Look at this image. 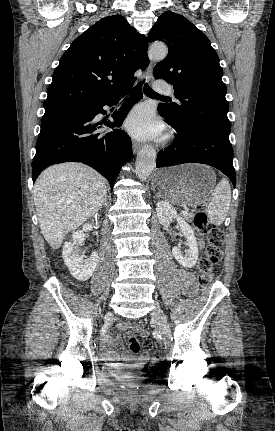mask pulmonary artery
Instances as JSON below:
<instances>
[{"label":"pulmonary artery","instance_id":"obj_1","mask_svg":"<svg viewBox=\"0 0 275 431\" xmlns=\"http://www.w3.org/2000/svg\"><path fill=\"white\" fill-rule=\"evenodd\" d=\"M154 89L156 92H159L162 94H171L172 92L170 86L161 81H158L154 84Z\"/></svg>","mask_w":275,"mask_h":431}]
</instances>
